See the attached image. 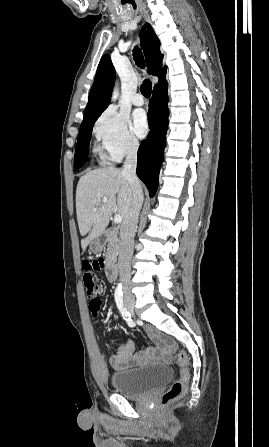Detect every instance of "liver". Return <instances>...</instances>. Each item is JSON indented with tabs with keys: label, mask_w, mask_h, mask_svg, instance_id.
Returning a JSON list of instances; mask_svg holds the SVG:
<instances>
[{
	"label": "liver",
	"mask_w": 269,
	"mask_h": 447,
	"mask_svg": "<svg viewBox=\"0 0 269 447\" xmlns=\"http://www.w3.org/2000/svg\"><path fill=\"white\" fill-rule=\"evenodd\" d=\"M103 198H108V202H101ZM131 204L132 190L122 170L101 168L81 176L76 190V214L80 233L86 235L81 239L82 249L105 233L114 212L125 218ZM93 208H97L96 212Z\"/></svg>",
	"instance_id": "6515ba94"
}]
</instances>
